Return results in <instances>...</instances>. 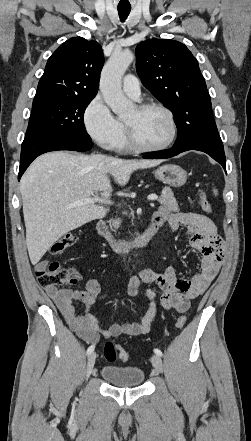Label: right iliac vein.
<instances>
[{"label":"right iliac vein","mask_w":251,"mask_h":441,"mask_svg":"<svg viewBox=\"0 0 251 441\" xmlns=\"http://www.w3.org/2000/svg\"><path fill=\"white\" fill-rule=\"evenodd\" d=\"M95 360H96V354L91 353L90 356L88 357L87 365H86V376L87 377H89L92 373V370L95 365Z\"/></svg>","instance_id":"obj_1"}]
</instances>
